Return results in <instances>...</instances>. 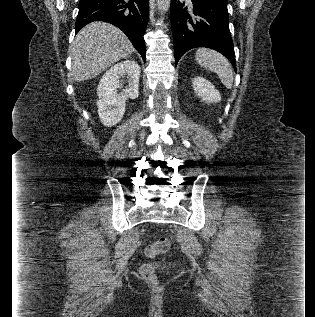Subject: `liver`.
<instances>
[{"mask_svg": "<svg viewBox=\"0 0 315 317\" xmlns=\"http://www.w3.org/2000/svg\"><path fill=\"white\" fill-rule=\"evenodd\" d=\"M69 51L72 57V79L84 81L95 78L114 62L126 58L134 48L117 27L93 22L76 35Z\"/></svg>", "mask_w": 315, "mask_h": 317, "instance_id": "liver-1", "label": "liver"}]
</instances>
